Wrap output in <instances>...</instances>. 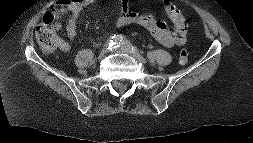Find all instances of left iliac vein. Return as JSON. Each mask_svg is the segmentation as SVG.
<instances>
[{
	"instance_id": "4c4485c4",
	"label": "left iliac vein",
	"mask_w": 253,
	"mask_h": 143,
	"mask_svg": "<svg viewBox=\"0 0 253 143\" xmlns=\"http://www.w3.org/2000/svg\"><path fill=\"white\" fill-rule=\"evenodd\" d=\"M115 51H122L124 53L130 54L135 59L139 60L141 63L145 64L146 60L145 58L139 53V51L132 49V47H124V48H116Z\"/></svg>"
}]
</instances>
